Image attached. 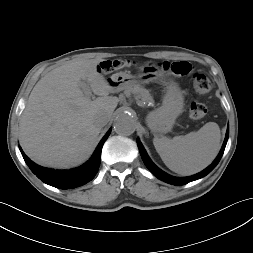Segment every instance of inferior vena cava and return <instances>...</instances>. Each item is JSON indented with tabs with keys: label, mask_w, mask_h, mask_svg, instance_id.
Returning <instances> with one entry per match:
<instances>
[{
	"label": "inferior vena cava",
	"mask_w": 253,
	"mask_h": 253,
	"mask_svg": "<svg viewBox=\"0 0 253 253\" xmlns=\"http://www.w3.org/2000/svg\"><path fill=\"white\" fill-rule=\"evenodd\" d=\"M109 119L110 118L107 114L102 113V114H99V115L96 116L95 123H96L97 126L103 127L108 123Z\"/></svg>",
	"instance_id": "1"
}]
</instances>
